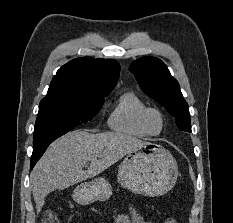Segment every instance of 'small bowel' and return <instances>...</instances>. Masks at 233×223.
Listing matches in <instances>:
<instances>
[{"instance_id": "small-bowel-1", "label": "small bowel", "mask_w": 233, "mask_h": 223, "mask_svg": "<svg viewBox=\"0 0 233 223\" xmlns=\"http://www.w3.org/2000/svg\"><path fill=\"white\" fill-rule=\"evenodd\" d=\"M113 223H151V221L146 220L133 207H129L128 213L123 212L121 208H116Z\"/></svg>"}]
</instances>
